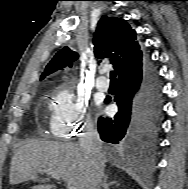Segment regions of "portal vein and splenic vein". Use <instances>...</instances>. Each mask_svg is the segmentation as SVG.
Segmentation results:
<instances>
[{
    "mask_svg": "<svg viewBox=\"0 0 188 189\" xmlns=\"http://www.w3.org/2000/svg\"><path fill=\"white\" fill-rule=\"evenodd\" d=\"M40 173H46L47 175L55 178L56 180H61V178H62L57 172H55L53 170H40ZM68 189H76V188L72 185H69Z\"/></svg>",
    "mask_w": 188,
    "mask_h": 189,
    "instance_id": "obj_1",
    "label": "portal vein and splenic vein"
}]
</instances>
